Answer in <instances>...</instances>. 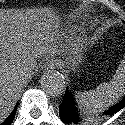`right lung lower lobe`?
I'll list each match as a JSON object with an SVG mask.
<instances>
[{
  "label": "right lung lower lobe",
  "instance_id": "98d812e1",
  "mask_svg": "<svg viewBox=\"0 0 125 125\" xmlns=\"http://www.w3.org/2000/svg\"><path fill=\"white\" fill-rule=\"evenodd\" d=\"M16 110H17V105L14 108L13 112L9 115V117L1 125H11V123L14 120Z\"/></svg>",
  "mask_w": 125,
  "mask_h": 125
}]
</instances>
